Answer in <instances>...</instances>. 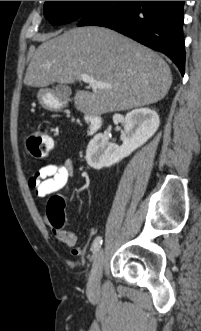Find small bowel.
Wrapping results in <instances>:
<instances>
[{
	"label": "small bowel",
	"instance_id": "small-bowel-1",
	"mask_svg": "<svg viewBox=\"0 0 201 331\" xmlns=\"http://www.w3.org/2000/svg\"><path fill=\"white\" fill-rule=\"evenodd\" d=\"M72 173L73 164L70 159H67L62 165L50 163L40 167L29 178L28 184L34 189L36 196L39 198L50 195L53 197L60 196V193L67 192L69 178ZM47 221L52 225L55 237L67 247L71 248L72 254H82V249L76 246L77 235L74 232L60 227L51 217H47Z\"/></svg>",
	"mask_w": 201,
	"mask_h": 331
}]
</instances>
